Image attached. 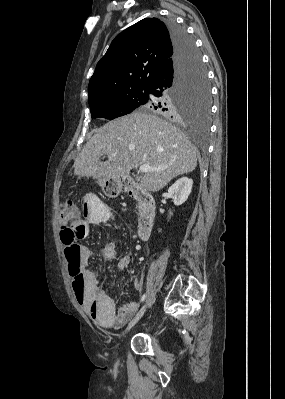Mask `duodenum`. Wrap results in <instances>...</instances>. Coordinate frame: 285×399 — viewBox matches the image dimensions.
<instances>
[{"label": "duodenum", "mask_w": 285, "mask_h": 399, "mask_svg": "<svg viewBox=\"0 0 285 399\" xmlns=\"http://www.w3.org/2000/svg\"><path fill=\"white\" fill-rule=\"evenodd\" d=\"M125 189L127 194L133 197L140 206L138 236L140 240L146 241L156 223L155 201L137 184H129Z\"/></svg>", "instance_id": "duodenum-1"}]
</instances>
